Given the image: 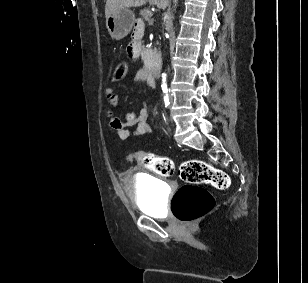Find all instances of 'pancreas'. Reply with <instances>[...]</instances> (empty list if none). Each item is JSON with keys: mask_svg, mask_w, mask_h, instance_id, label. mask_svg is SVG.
Masks as SVG:
<instances>
[{"mask_svg": "<svg viewBox=\"0 0 308 283\" xmlns=\"http://www.w3.org/2000/svg\"><path fill=\"white\" fill-rule=\"evenodd\" d=\"M140 15L142 16V18L144 20H148V22L150 24H152V22H153L152 19H151L152 13H151V11L149 9L145 8V9L141 10L140 11Z\"/></svg>", "mask_w": 308, "mask_h": 283, "instance_id": "cf45deb5", "label": "pancreas"}]
</instances>
